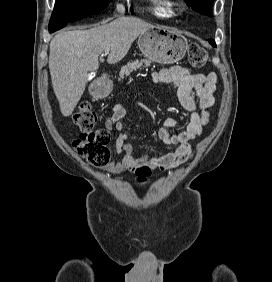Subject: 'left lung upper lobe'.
<instances>
[{"label":"left lung upper lobe","instance_id":"obj_1","mask_svg":"<svg viewBox=\"0 0 272 282\" xmlns=\"http://www.w3.org/2000/svg\"><path fill=\"white\" fill-rule=\"evenodd\" d=\"M186 4L192 7L193 10L205 14L212 15V4L214 0H185Z\"/></svg>","mask_w":272,"mask_h":282}]
</instances>
